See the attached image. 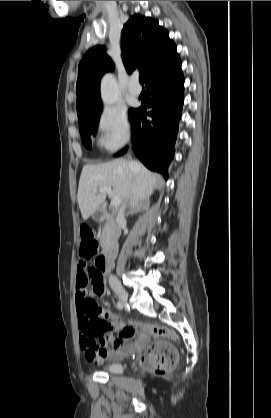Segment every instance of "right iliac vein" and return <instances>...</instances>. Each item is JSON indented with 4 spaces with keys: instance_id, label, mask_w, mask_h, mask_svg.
<instances>
[{
    "instance_id": "63e3f726",
    "label": "right iliac vein",
    "mask_w": 271,
    "mask_h": 418,
    "mask_svg": "<svg viewBox=\"0 0 271 418\" xmlns=\"http://www.w3.org/2000/svg\"><path fill=\"white\" fill-rule=\"evenodd\" d=\"M113 289H114V292L116 293V295L118 296V298L120 299V301L123 304H127L128 294H127L126 290L120 285L114 286Z\"/></svg>"
}]
</instances>
